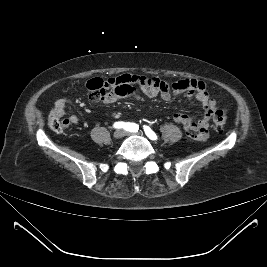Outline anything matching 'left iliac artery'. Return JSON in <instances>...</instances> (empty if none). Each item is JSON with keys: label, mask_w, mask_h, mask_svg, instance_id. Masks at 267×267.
<instances>
[{"label": "left iliac artery", "mask_w": 267, "mask_h": 267, "mask_svg": "<svg viewBox=\"0 0 267 267\" xmlns=\"http://www.w3.org/2000/svg\"><path fill=\"white\" fill-rule=\"evenodd\" d=\"M144 131L150 139H152V140L157 139L156 134L150 129V127L144 125Z\"/></svg>", "instance_id": "obj_1"}]
</instances>
